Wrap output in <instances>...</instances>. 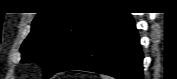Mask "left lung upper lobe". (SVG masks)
<instances>
[{
	"label": "left lung upper lobe",
	"mask_w": 177,
	"mask_h": 79,
	"mask_svg": "<svg viewBox=\"0 0 177 79\" xmlns=\"http://www.w3.org/2000/svg\"><path fill=\"white\" fill-rule=\"evenodd\" d=\"M106 14L104 11L39 13L20 48L22 62H37L44 68V78H50Z\"/></svg>",
	"instance_id": "obj_1"
}]
</instances>
